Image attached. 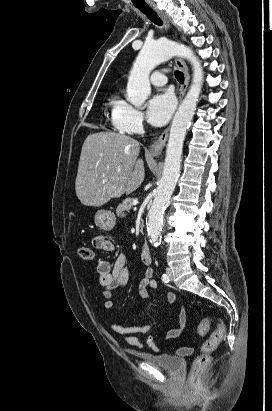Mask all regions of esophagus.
Returning <instances> with one entry per match:
<instances>
[{
	"label": "esophagus",
	"instance_id": "obj_1",
	"mask_svg": "<svg viewBox=\"0 0 272 411\" xmlns=\"http://www.w3.org/2000/svg\"><path fill=\"white\" fill-rule=\"evenodd\" d=\"M152 9L162 18L164 23L169 27L170 23L167 18V16L158 9L157 6H152ZM175 64L177 67L183 72L184 74V83L182 84L180 88V94H179V102L182 101L185 92L187 90L189 80H190V75H189V70L188 67L185 63V61L182 58H176L175 59ZM170 127H167L159 136L158 140L149 148V153L153 156H159L162 153V150L166 144L168 134H169Z\"/></svg>",
	"mask_w": 272,
	"mask_h": 411
}]
</instances>
